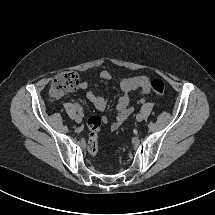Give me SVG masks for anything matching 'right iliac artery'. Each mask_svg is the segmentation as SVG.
I'll list each match as a JSON object with an SVG mask.
<instances>
[{
    "instance_id": "1",
    "label": "right iliac artery",
    "mask_w": 215,
    "mask_h": 215,
    "mask_svg": "<svg viewBox=\"0 0 215 215\" xmlns=\"http://www.w3.org/2000/svg\"><path fill=\"white\" fill-rule=\"evenodd\" d=\"M77 110H78L79 115L83 117V113H82L81 107L79 105H77Z\"/></svg>"
}]
</instances>
